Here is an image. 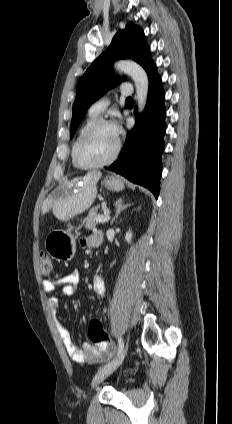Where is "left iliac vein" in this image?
<instances>
[{"label": "left iliac vein", "mask_w": 232, "mask_h": 424, "mask_svg": "<svg viewBox=\"0 0 232 424\" xmlns=\"http://www.w3.org/2000/svg\"><path fill=\"white\" fill-rule=\"evenodd\" d=\"M128 349V342H126V345L122 352L111 362L103 366L95 375L93 380V385H98L101 383L105 378H107L109 375H111L123 362L126 353Z\"/></svg>", "instance_id": "1"}]
</instances>
